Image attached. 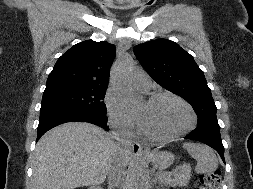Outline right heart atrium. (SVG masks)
Wrapping results in <instances>:
<instances>
[{
    "label": "right heart atrium",
    "instance_id": "right-heart-atrium-1",
    "mask_svg": "<svg viewBox=\"0 0 253 189\" xmlns=\"http://www.w3.org/2000/svg\"><path fill=\"white\" fill-rule=\"evenodd\" d=\"M105 103L111 123L121 130L130 129L132 126V116L125 108L120 97L116 94L108 93Z\"/></svg>",
    "mask_w": 253,
    "mask_h": 189
}]
</instances>
